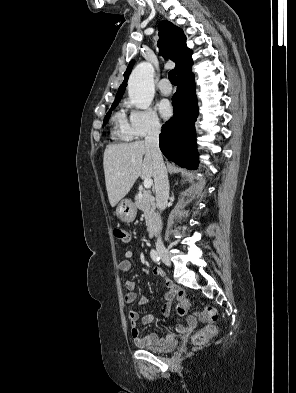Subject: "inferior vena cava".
Returning a JSON list of instances; mask_svg holds the SVG:
<instances>
[{
	"mask_svg": "<svg viewBox=\"0 0 296 393\" xmlns=\"http://www.w3.org/2000/svg\"><path fill=\"white\" fill-rule=\"evenodd\" d=\"M161 125L155 122L151 125L147 136L145 137V144L150 148L154 160V183L156 192V204L160 211H163L167 206L169 198V181L167 176L166 166L163 161L162 153L159 148V134ZM157 246H163L161 237L157 238Z\"/></svg>",
	"mask_w": 296,
	"mask_h": 393,
	"instance_id": "602c4592",
	"label": "inferior vena cava"
}]
</instances>
